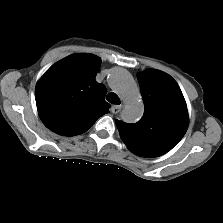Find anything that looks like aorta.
<instances>
[{"label":"aorta","instance_id":"obj_1","mask_svg":"<svg viewBox=\"0 0 223 223\" xmlns=\"http://www.w3.org/2000/svg\"><path fill=\"white\" fill-rule=\"evenodd\" d=\"M108 82L125 101L122 119L127 123L139 121L144 113V103L132 75L124 68L115 67L108 76Z\"/></svg>","mask_w":223,"mask_h":223}]
</instances>
